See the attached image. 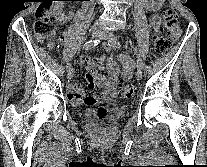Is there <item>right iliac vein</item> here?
<instances>
[{
    "label": "right iliac vein",
    "instance_id": "1",
    "mask_svg": "<svg viewBox=\"0 0 207 167\" xmlns=\"http://www.w3.org/2000/svg\"><path fill=\"white\" fill-rule=\"evenodd\" d=\"M91 36L94 38L101 37L102 31L98 27H93L91 30ZM73 74H74V69L70 67L67 73L68 80H70L73 77Z\"/></svg>",
    "mask_w": 207,
    "mask_h": 167
}]
</instances>
